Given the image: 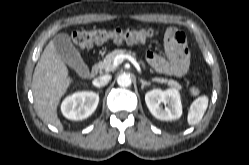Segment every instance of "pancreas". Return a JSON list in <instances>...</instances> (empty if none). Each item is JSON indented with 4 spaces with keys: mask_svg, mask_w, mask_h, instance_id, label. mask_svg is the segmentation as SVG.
<instances>
[{
    "mask_svg": "<svg viewBox=\"0 0 249 165\" xmlns=\"http://www.w3.org/2000/svg\"><path fill=\"white\" fill-rule=\"evenodd\" d=\"M122 54L133 55V56L136 55L131 50H124V49L114 50L111 53H109L108 55H106L103 62L100 63L101 69H103L105 72L113 71L114 67H113L112 63H113L115 57L118 56V55H122ZM140 63L145 68L144 62L140 60ZM153 81L160 82V83H166L167 85L171 86L175 90H180L181 89V85L178 82L174 81V80H167V79H164V78H154Z\"/></svg>",
    "mask_w": 249,
    "mask_h": 165,
    "instance_id": "1",
    "label": "pancreas"
}]
</instances>
